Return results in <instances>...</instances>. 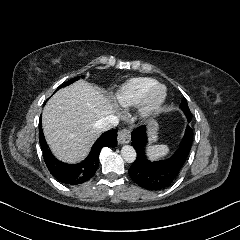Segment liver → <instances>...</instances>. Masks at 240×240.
Masks as SVG:
<instances>
[{"label": "liver", "instance_id": "liver-1", "mask_svg": "<svg viewBox=\"0 0 240 240\" xmlns=\"http://www.w3.org/2000/svg\"><path fill=\"white\" fill-rule=\"evenodd\" d=\"M99 87L79 80L58 90L43 110V132L52 153L68 163L84 159L101 134L95 123L116 112Z\"/></svg>", "mask_w": 240, "mask_h": 240}]
</instances>
